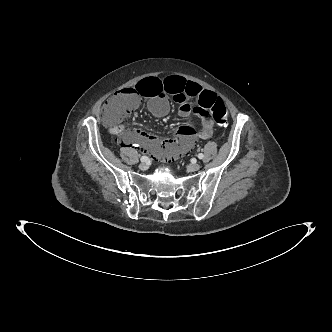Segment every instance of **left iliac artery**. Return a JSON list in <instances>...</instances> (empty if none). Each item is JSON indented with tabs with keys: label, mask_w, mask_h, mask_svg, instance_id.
<instances>
[{
	"label": "left iliac artery",
	"mask_w": 332,
	"mask_h": 332,
	"mask_svg": "<svg viewBox=\"0 0 332 332\" xmlns=\"http://www.w3.org/2000/svg\"><path fill=\"white\" fill-rule=\"evenodd\" d=\"M198 158H199V159H203V158H204V155H203L202 153H199V154H198Z\"/></svg>",
	"instance_id": "left-iliac-artery-1"
}]
</instances>
